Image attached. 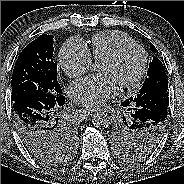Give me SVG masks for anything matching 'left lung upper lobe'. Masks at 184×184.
I'll list each match as a JSON object with an SVG mask.
<instances>
[{
	"label": "left lung upper lobe",
	"mask_w": 184,
	"mask_h": 184,
	"mask_svg": "<svg viewBox=\"0 0 184 184\" xmlns=\"http://www.w3.org/2000/svg\"><path fill=\"white\" fill-rule=\"evenodd\" d=\"M150 48L153 52H158L152 43H150ZM158 89L168 90V78L162 62L157 57H153L152 62L149 64L147 77L136 96H141L147 92ZM135 97H130L126 101H130ZM127 111L129 112H126L128 113L126 116L119 118L115 122L111 130V138L119 156L129 161L139 160L152 153L158 144L156 143L155 136L147 129L144 130L134 125L131 115L132 110L128 109ZM149 129H152V127H149ZM160 130L162 131V129ZM142 144H150L152 150L141 153L137 152L138 146Z\"/></svg>",
	"instance_id": "5c2ea615"
}]
</instances>
